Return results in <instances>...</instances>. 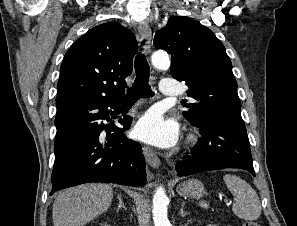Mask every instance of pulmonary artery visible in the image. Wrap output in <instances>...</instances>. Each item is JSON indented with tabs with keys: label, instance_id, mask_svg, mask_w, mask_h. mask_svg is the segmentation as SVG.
<instances>
[{
	"label": "pulmonary artery",
	"instance_id": "e3ab8cb5",
	"mask_svg": "<svg viewBox=\"0 0 297 226\" xmlns=\"http://www.w3.org/2000/svg\"><path fill=\"white\" fill-rule=\"evenodd\" d=\"M159 88L161 94L167 97H179L182 95V90L174 78L163 79Z\"/></svg>",
	"mask_w": 297,
	"mask_h": 226
}]
</instances>
